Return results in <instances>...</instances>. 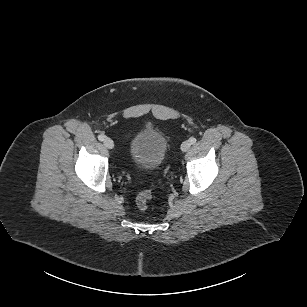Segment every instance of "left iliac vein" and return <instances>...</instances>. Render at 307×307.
Instances as JSON below:
<instances>
[{
    "label": "left iliac vein",
    "mask_w": 307,
    "mask_h": 307,
    "mask_svg": "<svg viewBox=\"0 0 307 307\" xmlns=\"http://www.w3.org/2000/svg\"><path fill=\"white\" fill-rule=\"evenodd\" d=\"M190 147H191L190 141H184V142L181 144V150H182L183 152L188 151Z\"/></svg>",
    "instance_id": "left-iliac-vein-1"
}]
</instances>
